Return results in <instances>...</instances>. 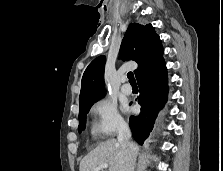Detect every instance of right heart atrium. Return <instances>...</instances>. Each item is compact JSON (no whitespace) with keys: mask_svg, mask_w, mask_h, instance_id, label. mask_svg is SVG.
I'll return each mask as SVG.
<instances>
[{"mask_svg":"<svg viewBox=\"0 0 223 171\" xmlns=\"http://www.w3.org/2000/svg\"><path fill=\"white\" fill-rule=\"evenodd\" d=\"M93 132L102 138L116 135L126 128V122L114 102L109 99L97 101L91 108Z\"/></svg>","mask_w":223,"mask_h":171,"instance_id":"1","label":"right heart atrium"}]
</instances>
